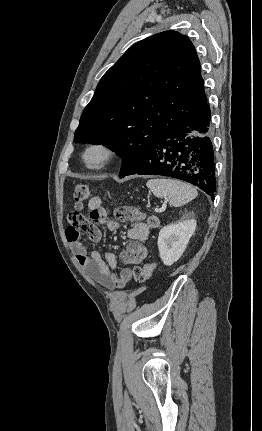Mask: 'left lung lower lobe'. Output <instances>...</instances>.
<instances>
[{
  "label": "left lung lower lobe",
  "instance_id": "1",
  "mask_svg": "<svg viewBox=\"0 0 262 431\" xmlns=\"http://www.w3.org/2000/svg\"><path fill=\"white\" fill-rule=\"evenodd\" d=\"M210 120L206 102L197 115L160 140L126 175L177 178L213 196L216 179Z\"/></svg>",
  "mask_w": 262,
  "mask_h": 431
}]
</instances>
